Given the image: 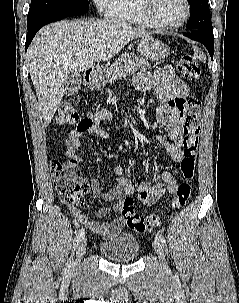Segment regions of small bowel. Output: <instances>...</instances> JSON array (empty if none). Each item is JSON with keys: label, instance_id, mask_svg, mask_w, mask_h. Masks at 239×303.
I'll return each instance as SVG.
<instances>
[{"label": "small bowel", "instance_id": "small-bowel-1", "mask_svg": "<svg viewBox=\"0 0 239 303\" xmlns=\"http://www.w3.org/2000/svg\"><path fill=\"white\" fill-rule=\"evenodd\" d=\"M134 83L139 91L153 89L157 98L163 102V105L158 108L156 116L161 125L170 129V133L166 137L157 136V141L173 161L180 162L183 157L181 119L184 114V102L188 95L187 84L174 77L173 70L169 65L150 73L137 75ZM110 118L111 114L105 110L89 112L71 132L66 143V155L80 163L82 158L77 152L81 146V137L85 134H95L102 139H108L109 133L104 131L100 124ZM111 171L117 175L116 186L107 192L100 191V183L97 179L91 181L90 197L113 203L101 207L95 212V217L99 219L118 212L125 197L136 193L139 201L146 205H152L164 195L175 193L178 187L176 177L166 171L161 173L156 184L148 185L141 182L137 188L128 178L122 176L124 172L122 166H113ZM69 210L77 223L85 225L90 231L107 240L116 237L124 227V219L120 216L100 223L90 220L76 206H71Z\"/></svg>", "mask_w": 239, "mask_h": 303}]
</instances>
